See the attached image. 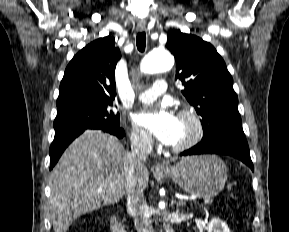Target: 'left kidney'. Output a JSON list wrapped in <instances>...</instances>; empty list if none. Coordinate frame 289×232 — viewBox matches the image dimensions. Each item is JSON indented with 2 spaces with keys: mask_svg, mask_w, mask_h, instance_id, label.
Returning a JSON list of instances; mask_svg holds the SVG:
<instances>
[{
  "mask_svg": "<svg viewBox=\"0 0 289 232\" xmlns=\"http://www.w3.org/2000/svg\"><path fill=\"white\" fill-rule=\"evenodd\" d=\"M207 230L209 232H230L227 224L215 217L207 224Z\"/></svg>",
  "mask_w": 289,
  "mask_h": 232,
  "instance_id": "obj_1",
  "label": "left kidney"
}]
</instances>
